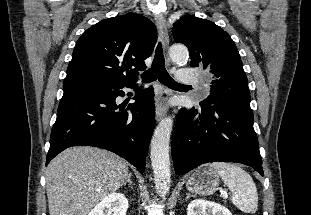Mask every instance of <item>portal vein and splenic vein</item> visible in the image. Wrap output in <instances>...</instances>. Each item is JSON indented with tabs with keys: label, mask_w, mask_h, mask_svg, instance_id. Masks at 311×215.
I'll use <instances>...</instances> for the list:
<instances>
[{
	"label": "portal vein and splenic vein",
	"mask_w": 311,
	"mask_h": 215,
	"mask_svg": "<svg viewBox=\"0 0 311 215\" xmlns=\"http://www.w3.org/2000/svg\"><path fill=\"white\" fill-rule=\"evenodd\" d=\"M221 193L223 194L224 198L226 199L227 198V193L225 191H222Z\"/></svg>",
	"instance_id": "obj_1"
}]
</instances>
